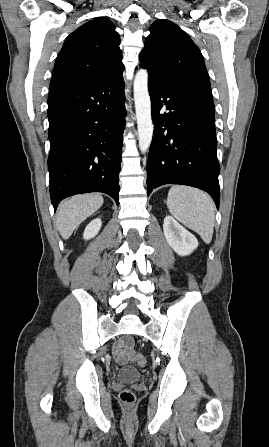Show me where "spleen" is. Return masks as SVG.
Wrapping results in <instances>:
<instances>
[{"label":"spleen","instance_id":"spleen-1","mask_svg":"<svg viewBox=\"0 0 269 447\" xmlns=\"http://www.w3.org/2000/svg\"><path fill=\"white\" fill-rule=\"evenodd\" d=\"M167 208L176 220L197 231L205 243H210L215 206L208 194L188 186H172L167 196Z\"/></svg>","mask_w":269,"mask_h":447}]
</instances>
